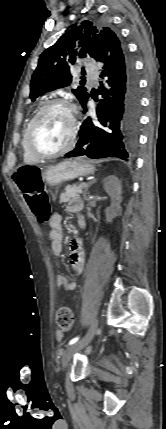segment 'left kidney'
Masks as SVG:
<instances>
[{
  "label": "left kidney",
  "instance_id": "obj_1",
  "mask_svg": "<svg viewBox=\"0 0 166 429\" xmlns=\"http://www.w3.org/2000/svg\"><path fill=\"white\" fill-rule=\"evenodd\" d=\"M103 187L106 193L111 197L112 204L109 208L106 209V221L112 222V220L121 215V206L120 203L122 201V187H121V181L111 175L106 177L103 180Z\"/></svg>",
  "mask_w": 166,
  "mask_h": 429
}]
</instances>
